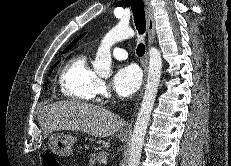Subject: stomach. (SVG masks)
<instances>
[{"label": "stomach", "mask_w": 231, "mask_h": 166, "mask_svg": "<svg viewBox=\"0 0 231 166\" xmlns=\"http://www.w3.org/2000/svg\"><path fill=\"white\" fill-rule=\"evenodd\" d=\"M119 139L125 141L126 137L119 136ZM75 141L76 138L71 135L53 134L49 137V148L59 156H69L73 151Z\"/></svg>", "instance_id": "1"}]
</instances>
